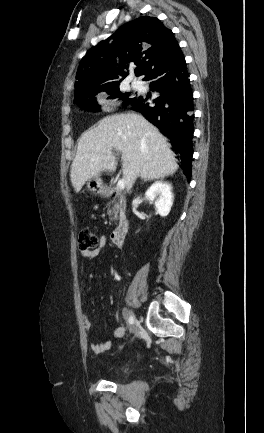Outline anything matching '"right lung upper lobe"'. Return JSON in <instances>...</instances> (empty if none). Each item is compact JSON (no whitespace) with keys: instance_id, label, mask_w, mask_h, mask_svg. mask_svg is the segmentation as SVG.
Listing matches in <instances>:
<instances>
[{"instance_id":"1","label":"right lung upper lobe","mask_w":264,"mask_h":433,"mask_svg":"<svg viewBox=\"0 0 264 433\" xmlns=\"http://www.w3.org/2000/svg\"><path fill=\"white\" fill-rule=\"evenodd\" d=\"M181 53L174 34L156 17L142 16L121 26L108 39L90 49L76 74L75 101L119 86L132 63L136 76Z\"/></svg>"}]
</instances>
